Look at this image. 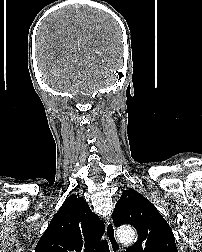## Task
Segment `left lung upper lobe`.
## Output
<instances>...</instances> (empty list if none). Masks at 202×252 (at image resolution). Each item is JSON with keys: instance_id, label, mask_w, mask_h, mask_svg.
Masks as SVG:
<instances>
[{"instance_id": "left-lung-upper-lobe-1", "label": "left lung upper lobe", "mask_w": 202, "mask_h": 252, "mask_svg": "<svg viewBox=\"0 0 202 252\" xmlns=\"http://www.w3.org/2000/svg\"><path fill=\"white\" fill-rule=\"evenodd\" d=\"M116 226L130 224L138 240L126 252H178L169 224L154 205L133 189L122 193L112 213Z\"/></svg>"}]
</instances>
